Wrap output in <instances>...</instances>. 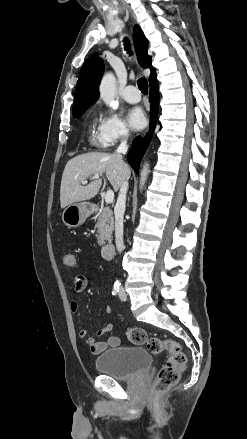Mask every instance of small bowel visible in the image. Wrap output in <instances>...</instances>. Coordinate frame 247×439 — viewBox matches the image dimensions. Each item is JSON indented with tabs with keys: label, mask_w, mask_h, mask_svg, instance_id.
I'll return each mask as SVG.
<instances>
[{
	"label": "small bowel",
	"mask_w": 247,
	"mask_h": 439,
	"mask_svg": "<svg viewBox=\"0 0 247 439\" xmlns=\"http://www.w3.org/2000/svg\"><path fill=\"white\" fill-rule=\"evenodd\" d=\"M88 285V280L83 275H77L74 277L71 285V289L74 293H81L83 292ZM70 309L73 313H77L79 310V304L77 301L72 300L70 302ZM105 312L107 314L111 313V307L106 306ZM113 329L112 323H107L102 329H100L97 332V336H102L104 334L109 333ZM79 337L81 339H84L86 342V345L90 349L91 353L98 355L105 351L109 347H116L120 344V339L116 336H108L104 341H96L94 338H87V331L81 330L79 332Z\"/></svg>",
	"instance_id": "obj_1"
}]
</instances>
